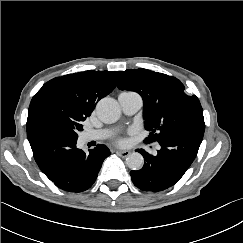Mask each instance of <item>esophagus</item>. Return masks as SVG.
Segmentation results:
<instances>
[{
    "instance_id": "esophagus-1",
    "label": "esophagus",
    "mask_w": 243,
    "mask_h": 243,
    "mask_svg": "<svg viewBox=\"0 0 243 243\" xmlns=\"http://www.w3.org/2000/svg\"><path fill=\"white\" fill-rule=\"evenodd\" d=\"M116 153L120 154L122 157H127L130 154L128 150H117Z\"/></svg>"
}]
</instances>
